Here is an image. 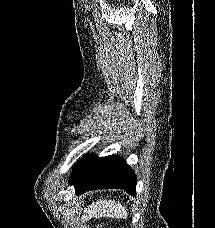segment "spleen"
Listing matches in <instances>:
<instances>
[{"label":"spleen","mask_w":215,"mask_h":228,"mask_svg":"<svg viewBox=\"0 0 215 228\" xmlns=\"http://www.w3.org/2000/svg\"><path fill=\"white\" fill-rule=\"evenodd\" d=\"M87 218H119V220H127L128 212L119 202H112V200H100L94 202L88 208Z\"/></svg>","instance_id":"spleen-1"}]
</instances>
